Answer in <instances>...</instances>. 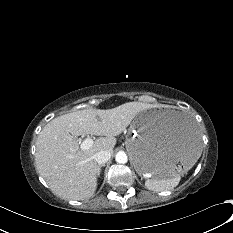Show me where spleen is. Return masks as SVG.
<instances>
[{
	"mask_svg": "<svg viewBox=\"0 0 233 233\" xmlns=\"http://www.w3.org/2000/svg\"><path fill=\"white\" fill-rule=\"evenodd\" d=\"M180 179H181L180 175H175L173 177L161 178V179L155 177L153 179L146 180L145 185L149 190L164 191L176 187Z\"/></svg>",
	"mask_w": 233,
	"mask_h": 233,
	"instance_id": "obj_1",
	"label": "spleen"
}]
</instances>
